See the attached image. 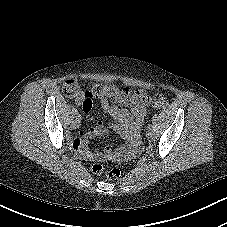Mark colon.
<instances>
[{
	"instance_id": "5ec220e1",
	"label": "colon",
	"mask_w": 227,
	"mask_h": 227,
	"mask_svg": "<svg viewBox=\"0 0 227 227\" xmlns=\"http://www.w3.org/2000/svg\"><path fill=\"white\" fill-rule=\"evenodd\" d=\"M63 92L67 96H75L80 92V85L77 79L69 78L64 81L62 86ZM85 95L88 102H91L93 98L98 99H113L115 101H127L130 97H135L137 100L146 103L148 101V95L141 90L130 91L128 89H119L115 86L108 84H94L87 88ZM168 106L167 99L162 95H156L152 101V108L157 110L165 109ZM94 174H104L110 181H116L120 178L121 172L117 168H106L103 164L95 163L90 167Z\"/></svg>"
}]
</instances>
